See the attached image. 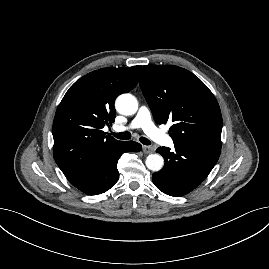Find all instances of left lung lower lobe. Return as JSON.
I'll use <instances>...</instances> for the list:
<instances>
[{"mask_svg":"<svg viewBox=\"0 0 269 269\" xmlns=\"http://www.w3.org/2000/svg\"><path fill=\"white\" fill-rule=\"evenodd\" d=\"M165 165L152 175L154 185L163 193L180 197L195 189L208 176L220 156L221 149L196 145H175V150L159 147Z\"/></svg>","mask_w":269,"mask_h":269,"instance_id":"obj_1","label":"left lung lower lobe"}]
</instances>
